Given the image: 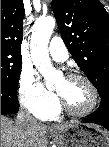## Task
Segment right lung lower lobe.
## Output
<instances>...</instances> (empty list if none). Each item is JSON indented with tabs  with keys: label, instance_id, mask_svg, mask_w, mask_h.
I'll return each instance as SVG.
<instances>
[{
	"label": "right lung lower lobe",
	"instance_id": "98d812e1",
	"mask_svg": "<svg viewBox=\"0 0 109 147\" xmlns=\"http://www.w3.org/2000/svg\"><path fill=\"white\" fill-rule=\"evenodd\" d=\"M18 110L17 92L1 88V115L16 114Z\"/></svg>",
	"mask_w": 109,
	"mask_h": 147
}]
</instances>
